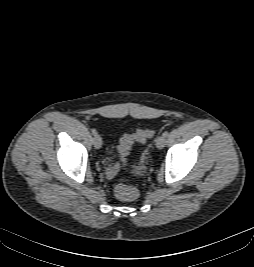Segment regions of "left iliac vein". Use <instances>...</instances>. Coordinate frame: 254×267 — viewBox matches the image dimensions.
Returning a JSON list of instances; mask_svg holds the SVG:
<instances>
[{"label": "left iliac vein", "mask_w": 254, "mask_h": 267, "mask_svg": "<svg viewBox=\"0 0 254 267\" xmlns=\"http://www.w3.org/2000/svg\"><path fill=\"white\" fill-rule=\"evenodd\" d=\"M166 139L163 135L158 136L155 140V145L158 149H162L165 146Z\"/></svg>", "instance_id": "4c4485c4"}]
</instances>
